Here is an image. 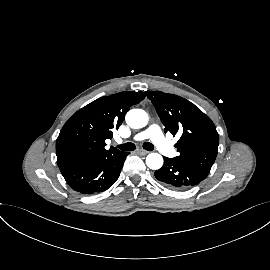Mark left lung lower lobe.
<instances>
[{
	"mask_svg": "<svg viewBox=\"0 0 270 270\" xmlns=\"http://www.w3.org/2000/svg\"><path fill=\"white\" fill-rule=\"evenodd\" d=\"M209 172L175 158L164 157V165L155 171V177L167 186L185 190L198 185Z\"/></svg>",
	"mask_w": 270,
	"mask_h": 270,
	"instance_id": "obj_1",
	"label": "left lung lower lobe"
}]
</instances>
